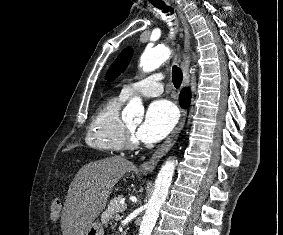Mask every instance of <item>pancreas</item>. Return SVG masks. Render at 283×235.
<instances>
[{
    "instance_id": "obj_1",
    "label": "pancreas",
    "mask_w": 283,
    "mask_h": 235,
    "mask_svg": "<svg viewBox=\"0 0 283 235\" xmlns=\"http://www.w3.org/2000/svg\"><path fill=\"white\" fill-rule=\"evenodd\" d=\"M122 196L119 195L112 199L106 210L101 215V221L103 224H111L112 219L119 213L125 210V205L121 204Z\"/></svg>"
}]
</instances>
